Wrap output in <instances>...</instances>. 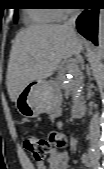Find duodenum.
<instances>
[{"instance_id":"410a0bca","label":"duodenum","mask_w":104,"mask_h":169,"mask_svg":"<svg viewBox=\"0 0 104 169\" xmlns=\"http://www.w3.org/2000/svg\"><path fill=\"white\" fill-rule=\"evenodd\" d=\"M73 114H74V117H75L76 119L82 118V116H83V114H84V105H83V103L78 102V103H76V104L73 106Z\"/></svg>"}]
</instances>
